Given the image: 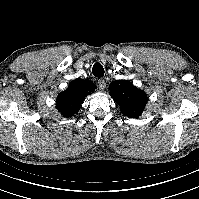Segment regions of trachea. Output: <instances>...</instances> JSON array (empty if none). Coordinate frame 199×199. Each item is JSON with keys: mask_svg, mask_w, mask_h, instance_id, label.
Returning <instances> with one entry per match:
<instances>
[{"mask_svg": "<svg viewBox=\"0 0 199 199\" xmlns=\"http://www.w3.org/2000/svg\"><path fill=\"white\" fill-rule=\"evenodd\" d=\"M92 73L95 77H103L104 75V68L100 63H95L92 68Z\"/></svg>", "mask_w": 199, "mask_h": 199, "instance_id": "3493384b", "label": "trachea"}]
</instances>
